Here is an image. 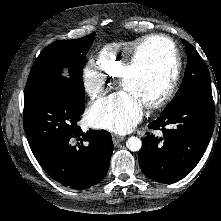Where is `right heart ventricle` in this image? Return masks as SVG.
Masks as SVG:
<instances>
[{
	"mask_svg": "<svg viewBox=\"0 0 221 221\" xmlns=\"http://www.w3.org/2000/svg\"><path fill=\"white\" fill-rule=\"evenodd\" d=\"M142 37H136L130 40H123L107 44L100 52L98 57V66L101 71L109 78L120 77L129 54L136 43Z\"/></svg>",
	"mask_w": 221,
	"mask_h": 221,
	"instance_id": "obj_1",
	"label": "right heart ventricle"
}]
</instances>
